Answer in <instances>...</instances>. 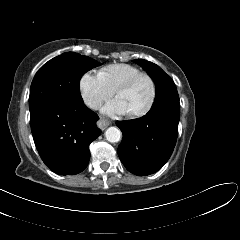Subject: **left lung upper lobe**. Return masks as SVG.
I'll return each mask as SVG.
<instances>
[{"label": "left lung upper lobe", "instance_id": "obj_1", "mask_svg": "<svg viewBox=\"0 0 240 240\" xmlns=\"http://www.w3.org/2000/svg\"><path fill=\"white\" fill-rule=\"evenodd\" d=\"M135 62L146 69L154 79L156 96L152 108L166 104L179 106V95L171 77L152 62L143 59H136Z\"/></svg>", "mask_w": 240, "mask_h": 240}]
</instances>
